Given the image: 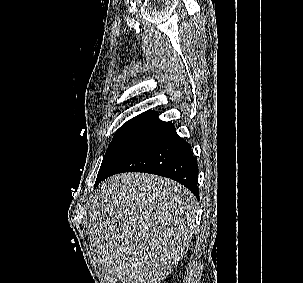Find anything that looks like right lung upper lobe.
<instances>
[{
	"label": "right lung upper lobe",
	"instance_id": "1",
	"mask_svg": "<svg viewBox=\"0 0 303 283\" xmlns=\"http://www.w3.org/2000/svg\"><path fill=\"white\" fill-rule=\"evenodd\" d=\"M138 116H147V117H154V118H157V112L155 111H146Z\"/></svg>",
	"mask_w": 303,
	"mask_h": 283
}]
</instances>
